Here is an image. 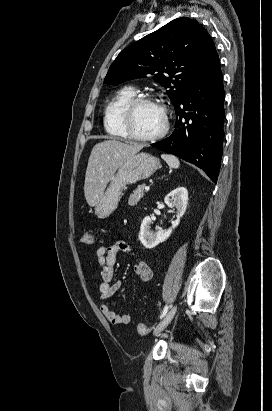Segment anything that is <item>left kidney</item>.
<instances>
[{
  "label": "left kidney",
  "mask_w": 272,
  "mask_h": 411,
  "mask_svg": "<svg viewBox=\"0 0 272 411\" xmlns=\"http://www.w3.org/2000/svg\"><path fill=\"white\" fill-rule=\"evenodd\" d=\"M165 204L169 208H176V220L172 221V226L168 230H151L152 220L146 216L142 223L139 233V239L144 247L151 249L158 244L166 241L180 223V218L184 215L188 205V191L184 187H178L171 191L164 198Z\"/></svg>",
  "instance_id": "5707ae66"
}]
</instances>
